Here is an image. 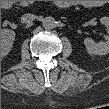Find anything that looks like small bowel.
Segmentation results:
<instances>
[{
    "instance_id": "obj_1",
    "label": "small bowel",
    "mask_w": 109,
    "mask_h": 109,
    "mask_svg": "<svg viewBox=\"0 0 109 109\" xmlns=\"http://www.w3.org/2000/svg\"><path fill=\"white\" fill-rule=\"evenodd\" d=\"M100 3L98 1H85L81 2V5L83 6H98Z\"/></svg>"
}]
</instances>
